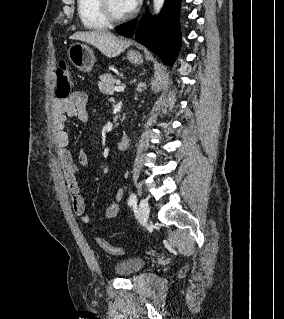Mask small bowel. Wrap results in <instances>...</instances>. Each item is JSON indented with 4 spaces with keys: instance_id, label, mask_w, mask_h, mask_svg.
<instances>
[{
    "instance_id": "1",
    "label": "small bowel",
    "mask_w": 284,
    "mask_h": 319,
    "mask_svg": "<svg viewBox=\"0 0 284 319\" xmlns=\"http://www.w3.org/2000/svg\"><path fill=\"white\" fill-rule=\"evenodd\" d=\"M88 97L81 91L73 92L66 100L55 99L52 104L51 120L54 129V143L58 149V158L62 172L71 196L72 209L83 223H90L91 217L86 212L84 198L81 194L77 173L78 167L74 162L73 156L69 151V136L66 131L67 118H76L79 121L88 120ZM78 162L82 166L89 164V157L84 150L78 153ZM124 190L119 188L115 193V201L110 203L105 213L98 218L99 222H107L115 218L119 212V202L122 200Z\"/></svg>"
}]
</instances>
